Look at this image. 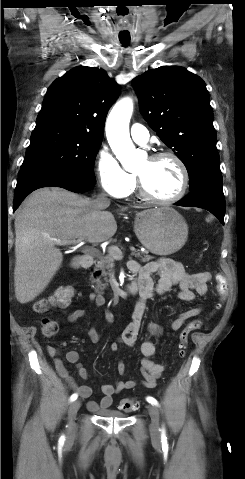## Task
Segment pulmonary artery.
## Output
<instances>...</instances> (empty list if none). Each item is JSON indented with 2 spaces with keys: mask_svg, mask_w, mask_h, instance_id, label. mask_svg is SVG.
<instances>
[{
  "mask_svg": "<svg viewBox=\"0 0 245 479\" xmlns=\"http://www.w3.org/2000/svg\"><path fill=\"white\" fill-rule=\"evenodd\" d=\"M130 134L132 139L138 144H145L149 140V131L146 127L138 123L131 126Z\"/></svg>",
  "mask_w": 245,
  "mask_h": 479,
  "instance_id": "1",
  "label": "pulmonary artery"
}]
</instances>
